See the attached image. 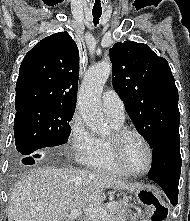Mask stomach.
Here are the masks:
<instances>
[{"instance_id":"0dacf381","label":"stomach","mask_w":190,"mask_h":221,"mask_svg":"<svg viewBox=\"0 0 190 221\" xmlns=\"http://www.w3.org/2000/svg\"><path fill=\"white\" fill-rule=\"evenodd\" d=\"M131 192L135 200H129V204H126V213H130V217L148 218H122V221H169V218H164L170 217L168 207L155 188L139 186Z\"/></svg>"}]
</instances>
